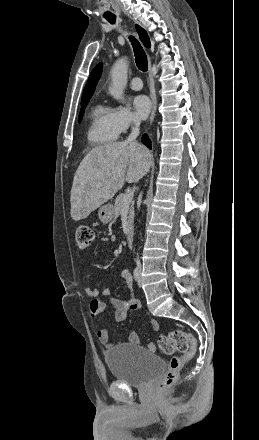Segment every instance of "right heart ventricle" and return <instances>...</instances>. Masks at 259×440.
I'll use <instances>...</instances> for the list:
<instances>
[{"instance_id":"e07e8e85","label":"right heart ventricle","mask_w":259,"mask_h":440,"mask_svg":"<svg viewBox=\"0 0 259 440\" xmlns=\"http://www.w3.org/2000/svg\"><path fill=\"white\" fill-rule=\"evenodd\" d=\"M117 133L111 123V110L103 104H97L89 114L87 139L92 145L109 144L116 140Z\"/></svg>"}]
</instances>
